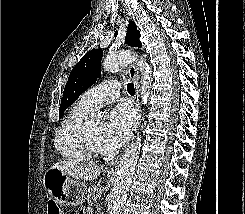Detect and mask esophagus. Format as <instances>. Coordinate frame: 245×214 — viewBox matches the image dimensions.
<instances>
[{"mask_svg": "<svg viewBox=\"0 0 245 214\" xmlns=\"http://www.w3.org/2000/svg\"><path fill=\"white\" fill-rule=\"evenodd\" d=\"M128 74L132 81L134 82L135 86V96H134V102L136 105V111H137V118H136V125H139L140 119H141V105H140V76L137 67L134 64H131L128 68ZM120 158H116L110 162V166H115L119 161Z\"/></svg>", "mask_w": 245, "mask_h": 214, "instance_id": "1", "label": "esophagus"}]
</instances>
